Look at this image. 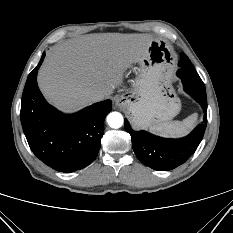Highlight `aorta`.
<instances>
[{
    "instance_id": "1",
    "label": "aorta",
    "mask_w": 233,
    "mask_h": 233,
    "mask_svg": "<svg viewBox=\"0 0 233 233\" xmlns=\"http://www.w3.org/2000/svg\"><path fill=\"white\" fill-rule=\"evenodd\" d=\"M123 116L119 112H111L107 116V123L111 128H120L123 125Z\"/></svg>"
}]
</instances>
